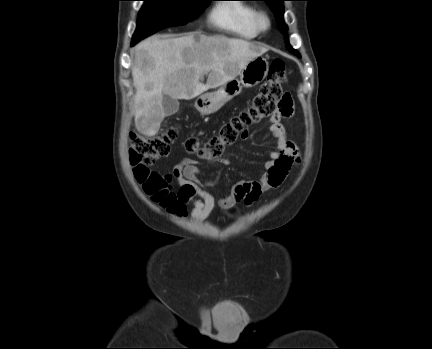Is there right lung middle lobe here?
<instances>
[{
    "label": "right lung middle lobe",
    "instance_id": "1",
    "mask_svg": "<svg viewBox=\"0 0 432 349\" xmlns=\"http://www.w3.org/2000/svg\"><path fill=\"white\" fill-rule=\"evenodd\" d=\"M132 46L156 31L192 21L210 0H143Z\"/></svg>",
    "mask_w": 432,
    "mask_h": 349
}]
</instances>
